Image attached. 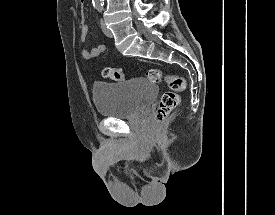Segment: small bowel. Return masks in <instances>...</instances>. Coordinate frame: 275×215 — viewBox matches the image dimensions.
Instances as JSON below:
<instances>
[{
	"label": "small bowel",
	"mask_w": 275,
	"mask_h": 215,
	"mask_svg": "<svg viewBox=\"0 0 275 215\" xmlns=\"http://www.w3.org/2000/svg\"><path fill=\"white\" fill-rule=\"evenodd\" d=\"M84 0H82V3ZM88 23L85 19H82L79 25V36L80 40L85 43L88 36ZM106 50L105 44H100L97 47L92 48L91 50H88L86 48H83L81 50V55L85 60H94L96 59L101 53H103Z\"/></svg>",
	"instance_id": "obj_1"
}]
</instances>
